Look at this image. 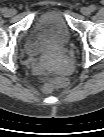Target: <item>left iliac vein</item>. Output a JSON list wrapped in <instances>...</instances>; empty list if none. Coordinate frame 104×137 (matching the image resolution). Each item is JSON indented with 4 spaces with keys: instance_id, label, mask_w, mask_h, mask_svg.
<instances>
[{
    "instance_id": "obj_1",
    "label": "left iliac vein",
    "mask_w": 104,
    "mask_h": 137,
    "mask_svg": "<svg viewBox=\"0 0 104 137\" xmlns=\"http://www.w3.org/2000/svg\"><path fill=\"white\" fill-rule=\"evenodd\" d=\"M91 12H92V11H91L90 7H82V8H81V13H82L83 15H85V16L90 15Z\"/></svg>"
}]
</instances>
